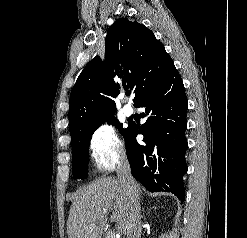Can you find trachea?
Returning a JSON list of instances; mask_svg holds the SVG:
<instances>
[{"instance_id": "3493384b", "label": "trachea", "mask_w": 247, "mask_h": 238, "mask_svg": "<svg viewBox=\"0 0 247 238\" xmlns=\"http://www.w3.org/2000/svg\"><path fill=\"white\" fill-rule=\"evenodd\" d=\"M126 95L129 96L130 95V92H126Z\"/></svg>"}]
</instances>
